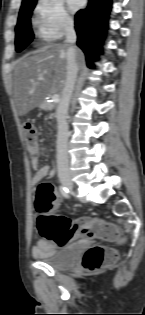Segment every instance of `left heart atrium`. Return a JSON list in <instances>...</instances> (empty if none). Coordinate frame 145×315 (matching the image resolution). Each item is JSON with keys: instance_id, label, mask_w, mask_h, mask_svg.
<instances>
[{"instance_id": "39dd6f15", "label": "left heart atrium", "mask_w": 145, "mask_h": 315, "mask_svg": "<svg viewBox=\"0 0 145 315\" xmlns=\"http://www.w3.org/2000/svg\"><path fill=\"white\" fill-rule=\"evenodd\" d=\"M84 0H68V5L71 10H77L82 7Z\"/></svg>"}]
</instances>
